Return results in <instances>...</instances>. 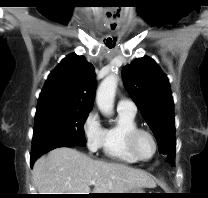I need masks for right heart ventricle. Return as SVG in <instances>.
Masks as SVG:
<instances>
[{
	"instance_id": "right-heart-ventricle-1",
	"label": "right heart ventricle",
	"mask_w": 208,
	"mask_h": 198,
	"mask_svg": "<svg viewBox=\"0 0 208 198\" xmlns=\"http://www.w3.org/2000/svg\"><path fill=\"white\" fill-rule=\"evenodd\" d=\"M137 127L135 114L118 111L117 122L104 129V155L125 164L137 163L139 160L131 153L127 143L128 134Z\"/></svg>"
}]
</instances>
